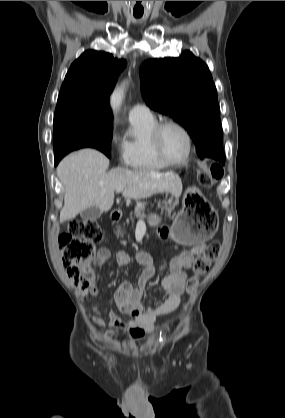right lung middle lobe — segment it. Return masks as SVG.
Wrapping results in <instances>:
<instances>
[{
	"label": "right lung middle lobe",
	"instance_id": "right-lung-middle-lobe-1",
	"mask_svg": "<svg viewBox=\"0 0 285 418\" xmlns=\"http://www.w3.org/2000/svg\"><path fill=\"white\" fill-rule=\"evenodd\" d=\"M54 159L80 148H96L111 155L112 115L80 107L56 108L54 114Z\"/></svg>",
	"mask_w": 285,
	"mask_h": 418
}]
</instances>
